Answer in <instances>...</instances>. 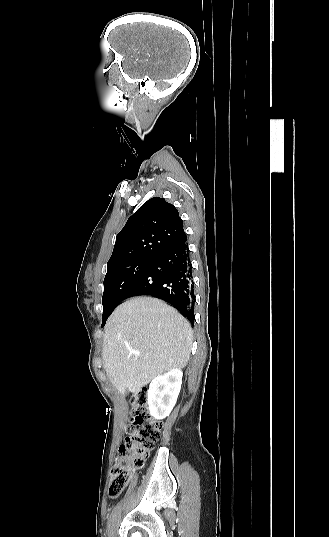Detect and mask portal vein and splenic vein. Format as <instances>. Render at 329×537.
<instances>
[{
  "instance_id": "portal-vein-and-splenic-vein-1",
  "label": "portal vein and splenic vein",
  "mask_w": 329,
  "mask_h": 537,
  "mask_svg": "<svg viewBox=\"0 0 329 537\" xmlns=\"http://www.w3.org/2000/svg\"><path fill=\"white\" fill-rule=\"evenodd\" d=\"M134 354H136L137 356H139L140 354L138 352H134Z\"/></svg>"
}]
</instances>
